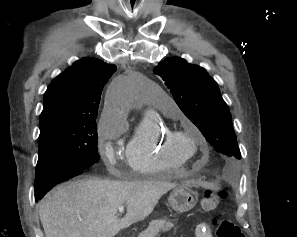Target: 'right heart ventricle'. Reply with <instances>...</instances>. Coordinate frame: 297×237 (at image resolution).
I'll return each mask as SVG.
<instances>
[{"label":"right heart ventricle","mask_w":297,"mask_h":237,"mask_svg":"<svg viewBox=\"0 0 297 237\" xmlns=\"http://www.w3.org/2000/svg\"><path fill=\"white\" fill-rule=\"evenodd\" d=\"M158 107L165 115L174 112ZM166 132L167 124L158 115L152 112L143 114L125 148L127 162L134 172L144 176L164 175L186 165L188 160L185 157L166 148L163 141Z\"/></svg>","instance_id":"right-heart-ventricle-1"}]
</instances>
